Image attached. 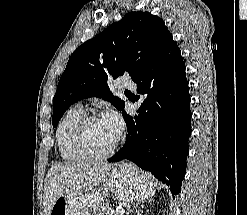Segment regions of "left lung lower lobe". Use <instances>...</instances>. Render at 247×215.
Instances as JSON below:
<instances>
[{"label":"left lung lower lobe","instance_id":"left-lung-lower-lobe-1","mask_svg":"<svg viewBox=\"0 0 247 215\" xmlns=\"http://www.w3.org/2000/svg\"><path fill=\"white\" fill-rule=\"evenodd\" d=\"M133 81L144 100L134 117L122 112L127 139L108 162L128 159L168 185L172 195L179 194L189 153L191 111L185 65L173 38Z\"/></svg>","mask_w":247,"mask_h":215}]
</instances>
